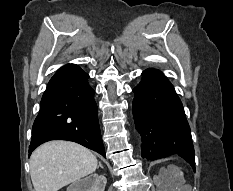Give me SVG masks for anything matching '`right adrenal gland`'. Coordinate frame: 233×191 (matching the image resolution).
Segmentation results:
<instances>
[{"instance_id":"obj_1","label":"right adrenal gland","mask_w":233,"mask_h":191,"mask_svg":"<svg viewBox=\"0 0 233 191\" xmlns=\"http://www.w3.org/2000/svg\"><path fill=\"white\" fill-rule=\"evenodd\" d=\"M99 167L103 168V166H102L101 162H99L98 168H99Z\"/></svg>"}]
</instances>
